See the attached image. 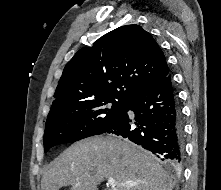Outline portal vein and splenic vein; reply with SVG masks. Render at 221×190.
<instances>
[{
  "label": "portal vein and splenic vein",
  "mask_w": 221,
  "mask_h": 190,
  "mask_svg": "<svg viewBox=\"0 0 221 190\" xmlns=\"http://www.w3.org/2000/svg\"><path fill=\"white\" fill-rule=\"evenodd\" d=\"M107 185L111 187H115V186L129 187V186H132L133 184L117 183L114 178H108Z\"/></svg>",
  "instance_id": "1"
}]
</instances>
